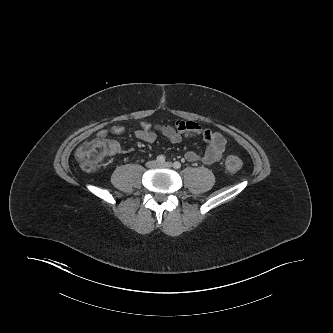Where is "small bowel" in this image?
<instances>
[{
  "mask_svg": "<svg viewBox=\"0 0 333 333\" xmlns=\"http://www.w3.org/2000/svg\"><path fill=\"white\" fill-rule=\"evenodd\" d=\"M125 128L122 126H113L109 129H102L97 133V138L105 139L110 148L111 154L122 153L123 149L115 140H110V135H122ZM163 135L170 143L177 144L184 138L201 136L207 144V148L203 154L195 151H187L184 155L188 162H201L204 164H213L218 162L225 150L226 140L217 132L201 127L193 121L179 120L174 125L156 124L152 125L147 122L141 123L139 129L135 132L137 139L152 143L156 140L157 135Z\"/></svg>",
  "mask_w": 333,
  "mask_h": 333,
  "instance_id": "small-bowel-1",
  "label": "small bowel"
}]
</instances>
